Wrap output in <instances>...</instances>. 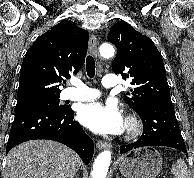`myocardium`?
<instances>
[{"label":"myocardium","instance_id":"f54148a6","mask_svg":"<svg viewBox=\"0 0 194 178\" xmlns=\"http://www.w3.org/2000/svg\"><path fill=\"white\" fill-rule=\"evenodd\" d=\"M125 135L126 140L136 139L142 132L143 125L140 119L134 115H128L125 121Z\"/></svg>","mask_w":194,"mask_h":178}]
</instances>
